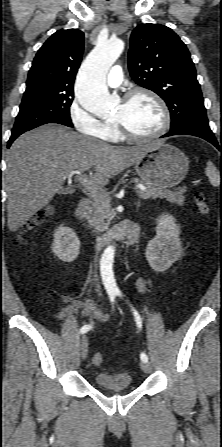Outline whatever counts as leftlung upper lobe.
I'll return each instance as SVG.
<instances>
[{
  "instance_id": "1",
  "label": "left lung upper lobe",
  "mask_w": 222,
  "mask_h": 447,
  "mask_svg": "<svg viewBox=\"0 0 222 447\" xmlns=\"http://www.w3.org/2000/svg\"><path fill=\"white\" fill-rule=\"evenodd\" d=\"M128 67L138 85L167 103L171 129L193 127L212 133L194 63L172 29L158 24L136 27L130 37Z\"/></svg>"
}]
</instances>
